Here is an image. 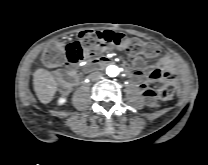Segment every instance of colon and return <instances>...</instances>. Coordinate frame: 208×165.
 Returning <instances> with one entry per match:
<instances>
[{"label":"colon","instance_id":"obj_1","mask_svg":"<svg viewBox=\"0 0 208 165\" xmlns=\"http://www.w3.org/2000/svg\"><path fill=\"white\" fill-rule=\"evenodd\" d=\"M108 43L118 45L132 56L143 54L152 57L158 52L155 44L126 37L122 33L86 30L80 32L76 41L71 44L65 45L62 41L52 42L43 51L41 60L48 68L59 67L70 61L77 63L82 60H89L90 57H95ZM174 91V85L169 83L158 91V98L162 101L169 100L173 97Z\"/></svg>","mask_w":208,"mask_h":165}]
</instances>
